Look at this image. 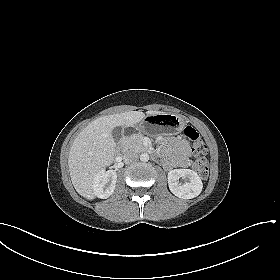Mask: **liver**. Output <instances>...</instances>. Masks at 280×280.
Masks as SVG:
<instances>
[{
  "label": "liver",
  "instance_id": "obj_1",
  "mask_svg": "<svg viewBox=\"0 0 280 280\" xmlns=\"http://www.w3.org/2000/svg\"><path fill=\"white\" fill-rule=\"evenodd\" d=\"M164 112L148 111L146 115ZM145 118L140 111H129L102 116L88 124L75 138L68 157V166L75 190L86 199L95 198L93 179L95 175L111 165L116 153V142L112 136L115 127H134Z\"/></svg>",
  "mask_w": 280,
  "mask_h": 280
}]
</instances>
